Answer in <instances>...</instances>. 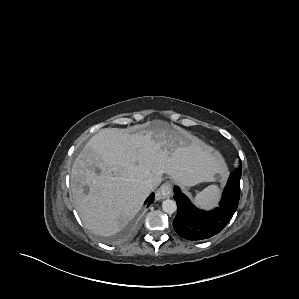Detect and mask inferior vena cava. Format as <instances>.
Returning <instances> with one entry per match:
<instances>
[{
    "label": "inferior vena cava",
    "instance_id": "602c4592",
    "mask_svg": "<svg viewBox=\"0 0 299 299\" xmlns=\"http://www.w3.org/2000/svg\"><path fill=\"white\" fill-rule=\"evenodd\" d=\"M155 183L153 182V180L148 179L147 181H145V187L147 188V190L150 192L153 190V188L155 187Z\"/></svg>",
    "mask_w": 299,
    "mask_h": 299
}]
</instances>
